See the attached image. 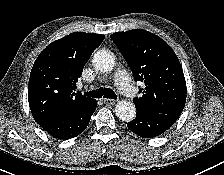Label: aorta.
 Listing matches in <instances>:
<instances>
[{"mask_svg": "<svg viewBox=\"0 0 224 175\" xmlns=\"http://www.w3.org/2000/svg\"><path fill=\"white\" fill-rule=\"evenodd\" d=\"M92 63L97 70L101 72H110L114 67L115 58L110 51L99 50L94 54ZM115 114L120 120L129 122L134 119L136 108L133 103L121 100L116 104Z\"/></svg>", "mask_w": 224, "mask_h": 175, "instance_id": "obj_1", "label": "aorta"}]
</instances>
